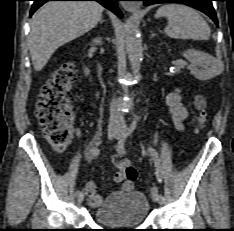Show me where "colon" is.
<instances>
[{
  "label": "colon",
  "instance_id": "5ec220e1",
  "mask_svg": "<svg viewBox=\"0 0 234 231\" xmlns=\"http://www.w3.org/2000/svg\"><path fill=\"white\" fill-rule=\"evenodd\" d=\"M76 80V68L71 62L61 65L47 80L41 89L36 105V115L43 134L57 151H64L71 142L70 124L74 118L72 107V89ZM199 112L198 126L203 127L207 120L208 99L199 95L195 99ZM115 163L118 182L135 181L137 173L129 160L117 156Z\"/></svg>",
  "mask_w": 234,
  "mask_h": 231
}]
</instances>
